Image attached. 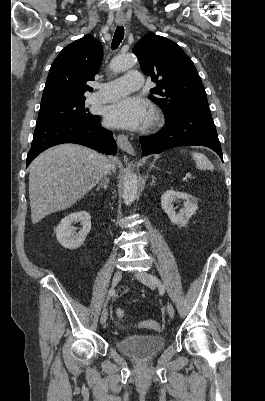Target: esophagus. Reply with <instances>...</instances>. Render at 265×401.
Returning a JSON list of instances; mask_svg holds the SVG:
<instances>
[{"mask_svg": "<svg viewBox=\"0 0 265 401\" xmlns=\"http://www.w3.org/2000/svg\"><path fill=\"white\" fill-rule=\"evenodd\" d=\"M116 23L118 25H124L125 22L124 20H116ZM117 145L121 150L125 151L126 153H129L131 155L134 153V149L130 141L128 140L127 136L125 135L117 136Z\"/></svg>", "mask_w": 265, "mask_h": 401, "instance_id": "esophagus-1", "label": "esophagus"}]
</instances>
